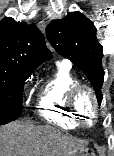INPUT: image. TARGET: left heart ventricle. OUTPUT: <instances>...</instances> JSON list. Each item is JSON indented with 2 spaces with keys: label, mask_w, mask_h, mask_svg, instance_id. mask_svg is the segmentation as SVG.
<instances>
[{
  "label": "left heart ventricle",
  "mask_w": 114,
  "mask_h": 156,
  "mask_svg": "<svg viewBox=\"0 0 114 156\" xmlns=\"http://www.w3.org/2000/svg\"><path fill=\"white\" fill-rule=\"evenodd\" d=\"M77 106L82 112L86 122H90L93 113V101L90 95L86 92H82L77 99Z\"/></svg>",
  "instance_id": "left-heart-ventricle-1"
}]
</instances>
